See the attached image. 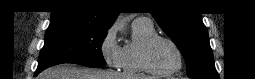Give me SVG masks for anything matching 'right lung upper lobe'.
<instances>
[{
  "label": "right lung upper lobe",
  "mask_w": 255,
  "mask_h": 79,
  "mask_svg": "<svg viewBox=\"0 0 255 79\" xmlns=\"http://www.w3.org/2000/svg\"><path fill=\"white\" fill-rule=\"evenodd\" d=\"M52 12L51 23H67L109 29L117 12L105 11L109 7L100 0H66Z\"/></svg>",
  "instance_id": "cb5924a9"
}]
</instances>
